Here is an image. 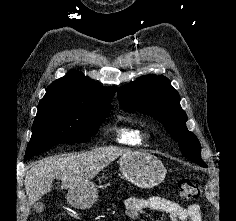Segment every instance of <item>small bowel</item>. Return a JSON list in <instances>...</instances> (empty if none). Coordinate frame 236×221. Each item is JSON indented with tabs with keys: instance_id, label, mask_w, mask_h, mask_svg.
<instances>
[{
	"instance_id": "1",
	"label": "small bowel",
	"mask_w": 236,
	"mask_h": 221,
	"mask_svg": "<svg viewBox=\"0 0 236 221\" xmlns=\"http://www.w3.org/2000/svg\"><path fill=\"white\" fill-rule=\"evenodd\" d=\"M144 211L163 212L169 215L171 221H202L201 208L197 203L181 206L177 202L159 196L136 197L132 196L125 201V215L137 221Z\"/></svg>"
}]
</instances>
